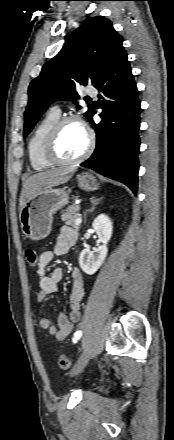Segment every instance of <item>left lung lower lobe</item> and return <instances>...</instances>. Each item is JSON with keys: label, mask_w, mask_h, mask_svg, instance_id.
<instances>
[{"label": "left lung lower lobe", "mask_w": 174, "mask_h": 440, "mask_svg": "<svg viewBox=\"0 0 174 440\" xmlns=\"http://www.w3.org/2000/svg\"><path fill=\"white\" fill-rule=\"evenodd\" d=\"M96 88L102 93L99 95L102 121L93 122L92 109L88 120L96 132V149L80 165L126 184L136 194L141 109L125 50L109 64Z\"/></svg>", "instance_id": "obj_1"}]
</instances>
